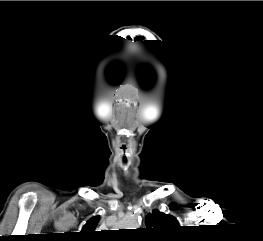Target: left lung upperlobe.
I'll return each instance as SVG.
<instances>
[{"instance_id":"obj_1","label":"left lung upper lobe","mask_w":263,"mask_h":241,"mask_svg":"<svg viewBox=\"0 0 263 241\" xmlns=\"http://www.w3.org/2000/svg\"><path fill=\"white\" fill-rule=\"evenodd\" d=\"M146 227L148 231L174 235L180 225L175 217L158 210H153L146 217Z\"/></svg>"}]
</instances>
